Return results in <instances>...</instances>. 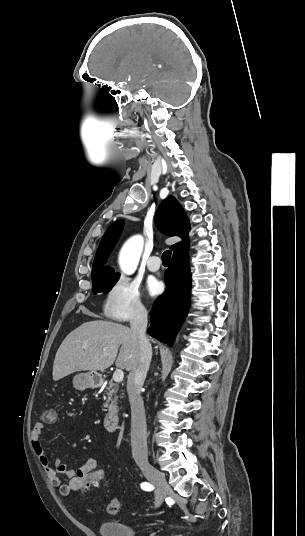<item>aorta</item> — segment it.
<instances>
[{
  "label": "aorta",
  "mask_w": 305,
  "mask_h": 536,
  "mask_svg": "<svg viewBox=\"0 0 305 536\" xmlns=\"http://www.w3.org/2000/svg\"><path fill=\"white\" fill-rule=\"evenodd\" d=\"M143 245L144 240L140 235L133 236L123 245L119 255V265L125 274L131 275L137 269Z\"/></svg>",
  "instance_id": "aorta-1"
}]
</instances>
